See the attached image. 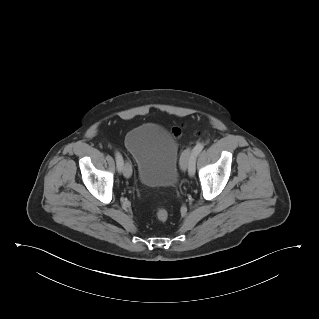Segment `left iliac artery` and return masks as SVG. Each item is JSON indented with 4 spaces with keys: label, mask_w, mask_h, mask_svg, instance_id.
I'll return each mask as SVG.
<instances>
[{
    "label": "left iliac artery",
    "mask_w": 319,
    "mask_h": 319,
    "mask_svg": "<svg viewBox=\"0 0 319 319\" xmlns=\"http://www.w3.org/2000/svg\"><path fill=\"white\" fill-rule=\"evenodd\" d=\"M203 148H204V144L198 143L193 149L192 155H191V157L189 159V163H188V172H189L190 176H194V174H195L196 157L203 150Z\"/></svg>",
    "instance_id": "44dca946"
}]
</instances>
